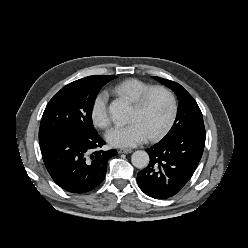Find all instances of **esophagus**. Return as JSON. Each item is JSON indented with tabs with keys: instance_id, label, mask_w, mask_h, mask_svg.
I'll return each instance as SVG.
<instances>
[{
	"instance_id": "34e87169",
	"label": "esophagus",
	"mask_w": 248,
	"mask_h": 248,
	"mask_svg": "<svg viewBox=\"0 0 248 248\" xmlns=\"http://www.w3.org/2000/svg\"><path fill=\"white\" fill-rule=\"evenodd\" d=\"M118 153L119 154H130V153H132V150L131 149L121 148V149L118 150Z\"/></svg>"
}]
</instances>
